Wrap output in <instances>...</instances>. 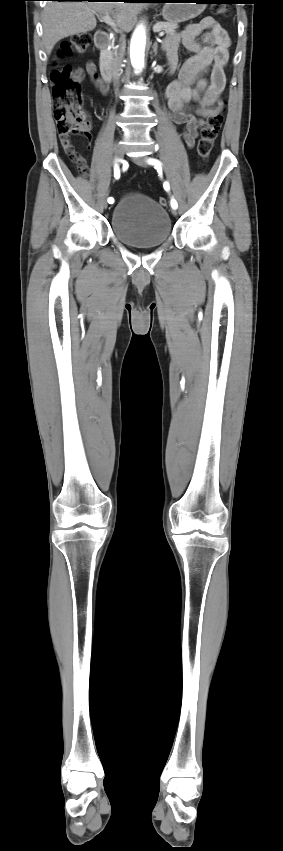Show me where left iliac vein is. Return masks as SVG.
I'll return each instance as SVG.
<instances>
[{"label": "left iliac vein", "instance_id": "obj_1", "mask_svg": "<svg viewBox=\"0 0 283 851\" xmlns=\"http://www.w3.org/2000/svg\"><path fill=\"white\" fill-rule=\"evenodd\" d=\"M132 160H133L134 163H136L139 166L148 167L147 158H145V157H135V158H132ZM172 214L174 216L177 215L176 209H172Z\"/></svg>", "mask_w": 283, "mask_h": 851}]
</instances>
